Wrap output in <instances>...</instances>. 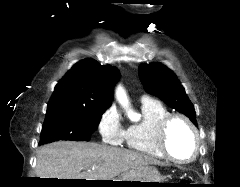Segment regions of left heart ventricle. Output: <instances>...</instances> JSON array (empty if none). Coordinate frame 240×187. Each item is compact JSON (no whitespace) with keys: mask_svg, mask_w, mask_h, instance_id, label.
<instances>
[{"mask_svg":"<svg viewBox=\"0 0 240 187\" xmlns=\"http://www.w3.org/2000/svg\"><path fill=\"white\" fill-rule=\"evenodd\" d=\"M167 146L178 159L185 160L191 157L194 141L192 133L185 123L176 120L171 124L168 130Z\"/></svg>","mask_w":240,"mask_h":187,"instance_id":"b2bd125f","label":"left heart ventricle"}]
</instances>
